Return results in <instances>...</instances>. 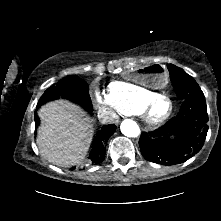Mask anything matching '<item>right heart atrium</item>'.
Wrapping results in <instances>:
<instances>
[{"instance_id":"1","label":"right heart atrium","mask_w":221,"mask_h":221,"mask_svg":"<svg viewBox=\"0 0 221 221\" xmlns=\"http://www.w3.org/2000/svg\"><path fill=\"white\" fill-rule=\"evenodd\" d=\"M95 98L97 103L107 110L110 114H116L119 113V110L117 106L114 104V102L109 97L108 93L101 91L99 89L95 90L94 92Z\"/></svg>"}]
</instances>
